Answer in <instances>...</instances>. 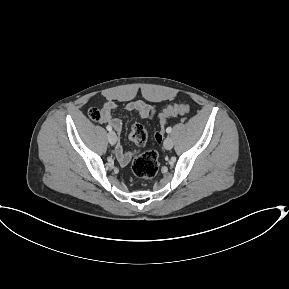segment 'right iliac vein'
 <instances>
[{"instance_id":"right-iliac-vein-1","label":"right iliac vein","mask_w":289,"mask_h":289,"mask_svg":"<svg viewBox=\"0 0 289 289\" xmlns=\"http://www.w3.org/2000/svg\"><path fill=\"white\" fill-rule=\"evenodd\" d=\"M108 141H109V143L112 144V145H114V144L116 143V141H117V136H116L115 132L110 131V132L108 133Z\"/></svg>"}]
</instances>
